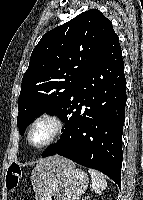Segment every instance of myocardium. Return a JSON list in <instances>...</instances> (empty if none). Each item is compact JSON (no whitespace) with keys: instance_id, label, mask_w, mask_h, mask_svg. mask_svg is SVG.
Masks as SVG:
<instances>
[{"instance_id":"myocardium-1","label":"myocardium","mask_w":143,"mask_h":200,"mask_svg":"<svg viewBox=\"0 0 143 200\" xmlns=\"http://www.w3.org/2000/svg\"><path fill=\"white\" fill-rule=\"evenodd\" d=\"M42 122H49L53 125V132L51 134V136L42 144L39 145H33L31 143V134L33 129ZM65 129V121L64 119L56 113H44L40 116H38L37 118H35L29 125L28 129H27V133H26V142L27 144L34 148V149H43L46 148L50 145H52L53 143H55L63 134Z\"/></svg>"}]
</instances>
